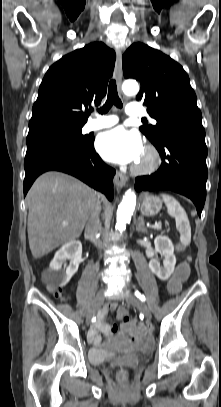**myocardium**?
Returning a JSON list of instances; mask_svg holds the SVG:
<instances>
[{
	"instance_id": "myocardium-1",
	"label": "myocardium",
	"mask_w": 221,
	"mask_h": 407,
	"mask_svg": "<svg viewBox=\"0 0 221 407\" xmlns=\"http://www.w3.org/2000/svg\"><path fill=\"white\" fill-rule=\"evenodd\" d=\"M144 155L147 160L145 163H137L133 166L132 171L138 175H149L156 172L161 165V155L159 151L152 145H148L144 149Z\"/></svg>"
}]
</instances>
